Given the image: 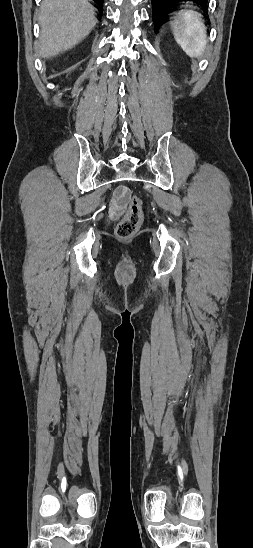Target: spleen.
Returning a JSON list of instances; mask_svg holds the SVG:
<instances>
[{
  "label": "spleen",
  "mask_w": 253,
  "mask_h": 548,
  "mask_svg": "<svg viewBox=\"0 0 253 548\" xmlns=\"http://www.w3.org/2000/svg\"><path fill=\"white\" fill-rule=\"evenodd\" d=\"M174 38L190 58L203 55L206 44V27L201 14L193 10H181L171 23Z\"/></svg>",
  "instance_id": "spleen-1"
}]
</instances>
